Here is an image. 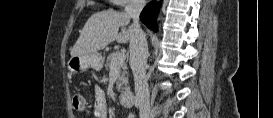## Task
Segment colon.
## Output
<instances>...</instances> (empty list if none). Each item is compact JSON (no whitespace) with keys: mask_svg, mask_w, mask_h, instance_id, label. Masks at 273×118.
<instances>
[{"mask_svg":"<svg viewBox=\"0 0 273 118\" xmlns=\"http://www.w3.org/2000/svg\"><path fill=\"white\" fill-rule=\"evenodd\" d=\"M72 106L76 111H86L88 106L84 97L80 94H75L72 98Z\"/></svg>","mask_w":273,"mask_h":118,"instance_id":"5ec220e1","label":"colon"}]
</instances>
